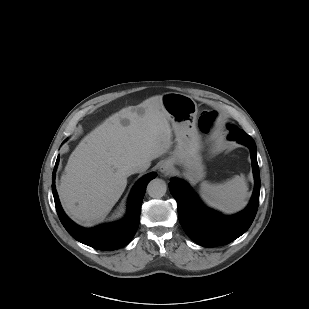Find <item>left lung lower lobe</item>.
Segmentation results:
<instances>
[{"label":"left lung lower lobe","instance_id":"left-lung-lower-lobe-1","mask_svg":"<svg viewBox=\"0 0 309 309\" xmlns=\"http://www.w3.org/2000/svg\"><path fill=\"white\" fill-rule=\"evenodd\" d=\"M249 147L255 188L252 199L245 210L233 215L223 216L208 210L195 197L190 187L181 180L172 179L170 192L177 201L180 224L185 233L204 247L226 245L244 234L252 224L259 204L260 173L257 163L256 144L251 136H228Z\"/></svg>","mask_w":309,"mask_h":309}]
</instances>
